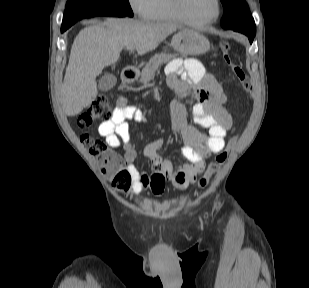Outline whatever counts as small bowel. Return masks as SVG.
I'll return each mask as SVG.
<instances>
[{
	"mask_svg": "<svg viewBox=\"0 0 309 288\" xmlns=\"http://www.w3.org/2000/svg\"><path fill=\"white\" fill-rule=\"evenodd\" d=\"M167 73L169 86L180 98L195 99L192 107L194 121L208 129V136H204L189 124L186 106L181 99L177 100L173 106V126L181 135V153L188 162L173 166L169 160L161 158L157 151L162 145V140L156 139L144 148L145 156L152 161L154 172L151 175L141 173L133 164L136 150L130 141L128 120L145 122L147 117L139 108L128 105L125 98H119L111 118L100 124L98 133L110 148L122 146L132 178L131 195H138L144 191L161 195L169 178L179 189H186L195 183L205 170L206 158L224 149L225 137L232 127L231 116L223 107L225 95L199 61L173 60L167 67ZM181 73L184 74L183 79L178 77Z\"/></svg>",
	"mask_w": 309,
	"mask_h": 288,
	"instance_id": "obj_1",
	"label": "small bowel"
}]
</instances>
